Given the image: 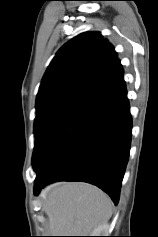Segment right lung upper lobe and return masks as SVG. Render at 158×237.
<instances>
[{
	"instance_id": "cb5924a9",
	"label": "right lung upper lobe",
	"mask_w": 158,
	"mask_h": 237,
	"mask_svg": "<svg viewBox=\"0 0 158 237\" xmlns=\"http://www.w3.org/2000/svg\"><path fill=\"white\" fill-rule=\"evenodd\" d=\"M122 76L113 46L99 32L82 33L61 47L51 61L36 104L61 97L85 103Z\"/></svg>"
}]
</instances>
